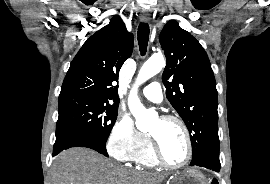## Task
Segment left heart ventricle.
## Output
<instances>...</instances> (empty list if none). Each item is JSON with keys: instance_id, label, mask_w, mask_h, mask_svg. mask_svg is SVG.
<instances>
[{"instance_id": "obj_1", "label": "left heart ventricle", "mask_w": 270, "mask_h": 184, "mask_svg": "<svg viewBox=\"0 0 270 184\" xmlns=\"http://www.w3.org/2000/svg\"><path fill=\"white\" fill-rule=\"evenodd\" d=\"M149 133L159 142L165 160L171 164H180L186 157V139L181 127L173 122L157 119Z\"/></svg>"}]
</instances>
